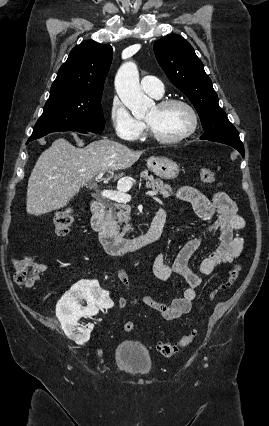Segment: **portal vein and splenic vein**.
<instances>
[{
	"label": "portal vein and splenic vein",
	"instance_id": "1",
	"mask_svg": "<svg viewBox=\"0 0 269 426\" xmlns=\"http://www.w3.org/2000/svg\"><path fill=\"white\" fill-rule=\"evenodd\" d=\"M104 173H100L97 177L96 180L98 181L99 179H101L103 177ZM127 189L126 188H121L119 186V190L118 191H112V190H103L101 192V196L103 198L109 199V200H113L115 202L118 203H127L131 200V195L126 193ZM147 195L149 196H155L157 195L156 192L153 191H148L146 192Z\"/></svg>",
	"mask_w": 269,
	"mask_h": 426
}]
</instances>
